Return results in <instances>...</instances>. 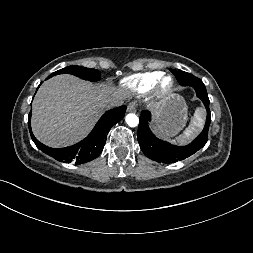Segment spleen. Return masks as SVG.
<instances>
[{"label": "spleen", "mask_w": 253, "mask_h": 253, "mask_svg": "<svg viewBox=\"0 0 253 253\" xmlns=\"http://www.w3.org/2000/svg\"><path fill=\"white\" fill-rule=\"evenodd\" d=\"M204 111L200 108L196 109L194 116L191 118V122L188 127L184 130V132L173 139V143L177 144H187L192 138H194L201 130L204 119H203Z\"/></svg>", "instance_id": "1"}]
</instances>
